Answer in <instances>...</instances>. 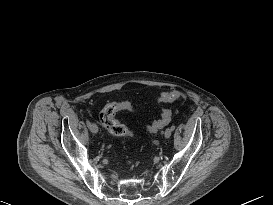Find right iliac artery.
Wrapping results in <instances>:
<instances>
[{
    "label": "right iliac artery",
    "instance_id": "obj_1",
    "mask_svg": "<svg viewBox=\"0 0 273 205\" xmlns=\"http://www.w3.org/2000/svg\"><path fill=\"white\" fill-rule=\"evenodd\" d=\"M86 124H87V126L89 127L90 126V121L88 120V119H86Z\"/></svg>",
    "mask_w": 273,
    "mask_h": 205
}]
</instances>
